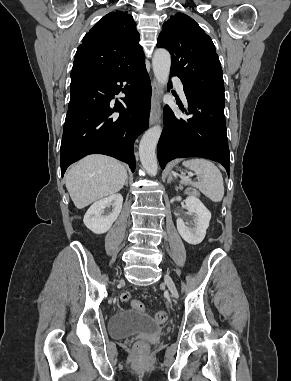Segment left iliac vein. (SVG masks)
Instances as JSON below:
<instances>
[{
  "instance_id": "4c4485c4",
  "label": "left iliac vein",
  "mask_w": 291,
  "mask_h": 381,
  "mask_svg": "<svg viewBox=\"0 0 291 381\" xmlns=\"http://www.w3.org/2000/svg\"><path fill=\"white\" fill-rule=\"evenodd\" d=\"M164 281H165V284L167 285L168 289L170 290L172 296L175 298H178L179 294H178L177 288H176L172 278L168 274H166L164 276Z\"/></svg>"
}]
</instances>
